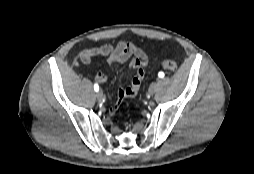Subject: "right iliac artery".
Returning <instances> with one entry per match:
<instances>
[{"label":"right iliac artery","mask_w":254,"mask_h":174,"mask_svg":"<svg viewBox=\"0 0 254 174\" xmlns=\"http://www.w3.org/2000/svg\"><path fill=\"white\" fill-rule=\"evenodd\" d=\"M94 90L96 91V92H98L99 91V86H98V84H94Z\"/></svg>","instance_id":"82829eb1"}]
</instances>
